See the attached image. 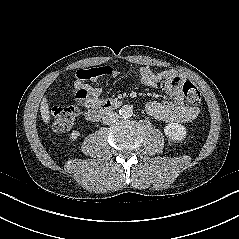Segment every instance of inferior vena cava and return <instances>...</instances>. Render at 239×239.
Here are the masks:
<instances>
[{
	"label": "inferior vena cava",
	"instance_id": "602c4592",
	"mask_svg": "<svg viewBox=\"0 0 239 239\" xmlns=\"http://www.w3.org/2000/svg\"><path fill=\"white\" fill-rule=\"evenodd\" d=\"M102 120H103V123L107 125L115 123L118 120V114L113 111H108L105 113Z\"/></svg>",
	"mask_w": 239,
	"mask_h": 239
}]
</instances>
